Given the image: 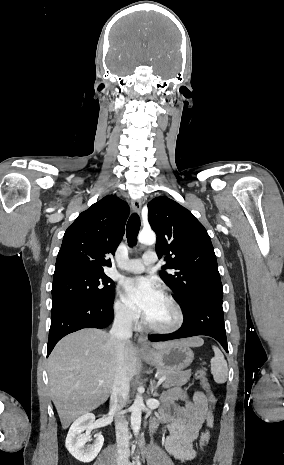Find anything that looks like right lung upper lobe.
Segmentation results:
<instances>
[{
	"label": "right lung upper lobe",
	"instance_id": "cb5924a9",
	"mask_svg": "<svg viewBox=\"0 0 284 465\" xmlns=\"http://www.w3.org/2000/svg\"><path fill=\"white\" fill-rule=\"evenodd\" d=\"M129 212L128 204L114 195L102 198L82 212L65 231L53 279L104 273L103 266L111 267L107 255H114Z\"/></svg>",
	"mask_w": 284,
	"mask_h": 465
}]
</instances>
